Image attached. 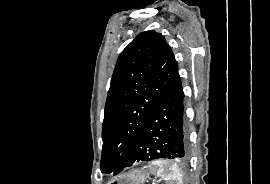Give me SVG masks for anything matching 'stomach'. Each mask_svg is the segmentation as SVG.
<instances>
[{
  "mask_svg": "<svg viewBox=\"0 0 270 184\" xmlns=\"http://www.w3.org/2000/svg\"><path fill=\"white\" fill-rule=\"evenodd\" d=\"M148 177V173L136 169L112 179L108 184H144Z\"/></svg>",
  "mask_w": 270,
  "mask_h": 184,
  "instance_id": "1",
  "label": "stomach"
}]
</instances>
